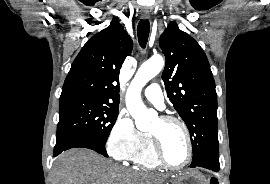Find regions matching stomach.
<instances>
[{"instance_id": "stomach-1", "label": "stomach", "mask_w": 270, "mask_h": 184, "mask_svg": "<svg viewBox=\"0 0 270 184\" xmlns=\"http://www.w3.org/2000/svg\"><path fill=\"white\" fill-rule=\"evenodd\" d=\"M170 184H208V182L201 173L189 170L173 176Z\"/></svg>"}]
</instances>
